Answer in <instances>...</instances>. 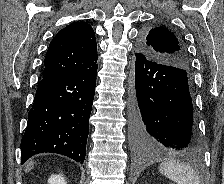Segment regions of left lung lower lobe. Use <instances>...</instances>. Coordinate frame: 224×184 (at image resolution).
I'll use <instances>...</instances> for the list:
<instances>
[{
    "mask_svg": "<svg viewBox=\"0 0 224 184\" xmlns=\"http://www.w3.org/2000/svg\"><path fill=\"white\" fill-rule=\"evenodd\" d=\"M133 141L143 154H198L190 76L187 70L161 64L136 52Z\"/></svg>",
    "mask_w": 224,
    "mask_h": 184,
    "instance_id": "left-lung-lower-lobe-1",
    "label": "left lung lower lobe"
}]
</instances>
